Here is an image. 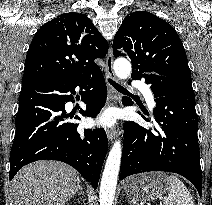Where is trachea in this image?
I'll return each mask as SVG.
<instances>
[{"label":"trachea","instance_id":"trachea-1","mask_svg":"<svg viewBox=\"0 0 212 205\" xmlns=\"http://www.w3.org/2000/svg\"><path fill=\"white\" fill-rule=\"evenodd\" d=\"M109 83L118 91L123 92V93H129L128 90H126L124 87H122L121 85L117 84L115 81H113L112 79H108Z\"/></svg>","mask_w":212,"mask_h":205}]
</instances>
